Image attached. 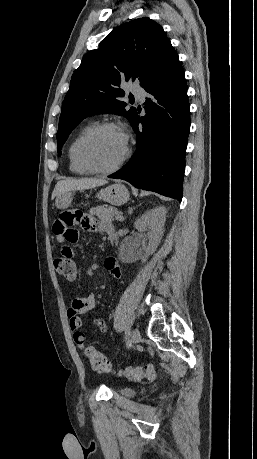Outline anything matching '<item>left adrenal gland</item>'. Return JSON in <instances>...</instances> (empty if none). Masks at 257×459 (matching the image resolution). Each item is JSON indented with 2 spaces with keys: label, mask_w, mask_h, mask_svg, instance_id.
Instances as JSON below:
<instances>
[{
  "label": "left adrenal gland",
  "mask_w": 257,
  "mask_h": 459,
  "mask_svg": "<svg viewBox=\"0 0 257 459\" xmlns=\"http://www.w3.org/2000/svg\"><path fill=\"white\" fill-rule=\"evenodd\" d=\"M132 211H133V208H130V209H129V214H131ZM123 220H124V219H123Z\"/></svg>",
  "instance_id": "1"
}]
</instances>
